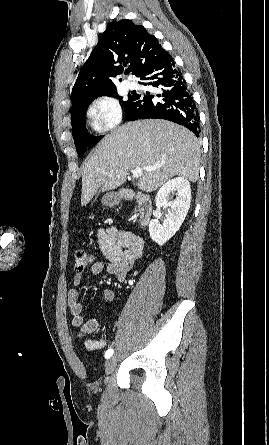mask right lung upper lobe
Segmentation results:
<instances>
[{"label":"right lung upper lobe","mask_w":269,"mask_h":445,"mask_svg":"<svg viewBox=\"0 0 269 445\" xmlns=\"http://www.w3.org/2000/svg\"><path fill=\"white\" fill-rule=\"evenodd\" d=\"M168 54L142 25L127 19L111 22L79 72L72 89V107L115 91L109 77L121 74L125 66L129 65L132 74L140 77Z\"/></svg>","instance_id":"1"}]
</instances>
